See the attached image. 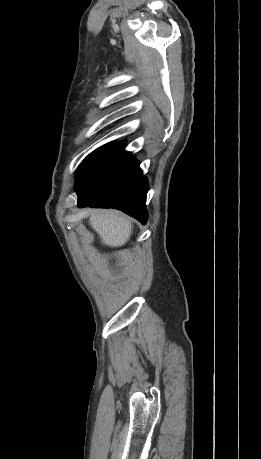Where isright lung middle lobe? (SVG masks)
Masks as SVG:
<instances>
[{
  "label": "right lung middle lobe",
  "mask_w": 261,
  "mask_h": 459,
  "mask_svg": "<svg viewBox=\"0 0 261 459\" xmlns=\"http://www.w3.org/2000/svg\"><path fill=\"white\" fill-rule=\"evenodd\" d=\"M124 143H107L91 154L80 164L76 173L75 188L78 198L88 196L106 177L120 167L129 157Z\"/></svg>",
  "instance_id": "1"
}]
</instances>
